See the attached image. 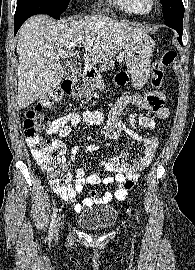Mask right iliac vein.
I'll return each instance as SVG.
<instances>
[{"label": "right iliac vein", "instance_id": "obj_1", "mask_svg": "<svg viewBox=\"0 0 195 270\" xmlns=\"http://www.w3.org/2000/svg\"><path fill=\"white\" fill-rule=\"evenodd\" d=\"M59 226H60V218H58V219L56 220L55 228H54V235H57V234H58Z\"/></svg>", "mask_w": 195, "mask_h": 270}]
</instances>
